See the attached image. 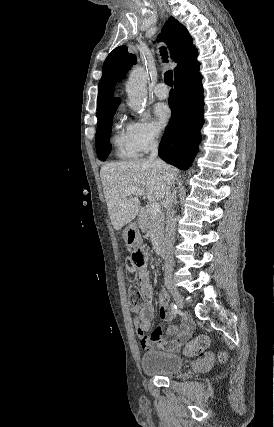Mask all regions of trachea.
I'll return each instance as SVG.
<instances>
[{"label":"trachea","instance_id":"trachea-1","mask_svg":"<svg viewBox=\"0 0 274 427\" xmlns=\"http://www.w3.org/2000/svg\"><path fill=\"white\" fill-rule=\"evenodd\" d=\"M160 52H161V56L163 61H167V52L165 47H161L160 48ZM164 81L167 85H169V87L173 86V73L172 70H167L164 74Z\"/></svg>","mask_w":274,"mask_h":427}]
</instances>
